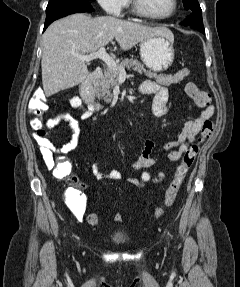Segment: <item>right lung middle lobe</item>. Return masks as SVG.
Returning a JSON list of instances; mask_svg holds the SVG:
<instances>
[{
	"label": "right lung middle lobe",
	"mask_w": 240,
	"mask_h": 287,
	"mask_svg": "<svg viewBox=\"0 0 240 287\" xmlns=\"http://www.w3.org/2000/svg\"><path fill=\"white\" fill-rule=\"evenodd\" d=\"M95 0H50L46 11L50 10L51 8L62 6L66 4H75V3H83V2H93Z\"/></svg>",
	"instance_id": "1"
}]
</instances>
